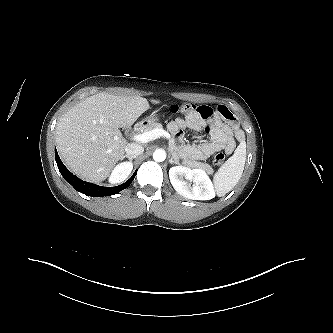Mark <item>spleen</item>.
I'll list each match as a JSON object with an SVG mask.
<instances>
[{
  "mask_svg": "<svg viewBox=\"0 0 333 333\" xmlns=\"http://www.w3.org/2000/svg\"><path fill=\"white\" fill-rule=\"evenodd\" d=\"M246 161V143L239 144L235 153L218 169L214 176L219 197L231 191L240 180Z\"/></svg>",
  "mask_w": 333,
  "mask_h": 333,
  "instance_id": "3e777b00",
  "label": "spleen"
}]
</instances>
